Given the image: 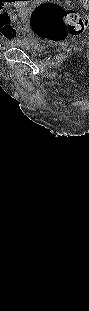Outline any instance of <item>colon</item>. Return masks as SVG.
Instances as JSON below:
<instances>
[{"label": "colon", "mask_w": 89, "mask_h": 311, "mask_svg": "<svg viewBox=\"0 0 89 311\" xmlns=\"http://www.w3.org/2000/svg\"><path fill=\"white\" fill-rule=\"evenodd\" d=\"M12 13L5 12L1 19L10 29L23 30V23H12ZM86 26L84 17L79 11L65 8L55 2H43L32 12L30 28L39 37L49 41H61L68 35L77 36L81 34Z\"/></svg>", "instance_id": "colon-1"}]
</instances>
